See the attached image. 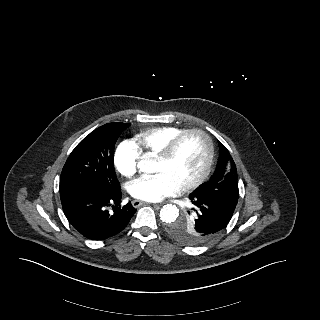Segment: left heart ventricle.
Listing matches in <instances>:
<instances>
[{
    "mask_svg": "<svg viewBox=\"0 0 320 320\" xmlns=\"http://www.w3.org/2000/svg\"><path fill=\"white\" fill-rule=\"evenodd\" d=\"M206 161V143L199 135L187 136L170 161L156 160L155 173L166 174L178 187L195 179Z\"/></svg>",
    "mask_w": 320,
    "mask_h": 320,
    "instance_id": "b2bd125f",
    "label": "left heart ventricle"
}]
</instances>
